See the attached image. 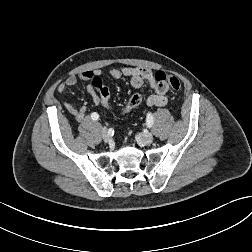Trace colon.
Listing matches in <instances>:
<instances>
[{
	"label": "colon",
	"mask_w": 252,
	"mask_h": 252,
	"mask_svg": "<svg viewBox=\"0 0 252 252\" xmlns=\"http://www.w3.org/2000/svg\"><path fill=\"white\" fill-rule=\"evenodd\" d=\"M155 79L158 82H165L171 89L178 91L181 88L180 80L168 73L158 71L155 73ZM92 85L96 90L100 98V105L105 107L110 111H120L122 113H129L136 109L142 103V95L140 93L132 94L129 99L121 104L120 106H115L111 100L110 92L107 87L102 84L99 77H94L92 79Z\"/></svg>",
	"instance_id": "1"
}]
</instances>
